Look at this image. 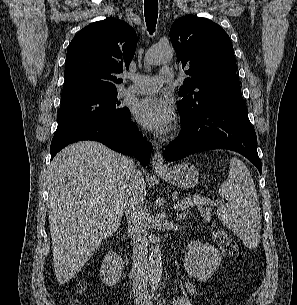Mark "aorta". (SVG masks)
<instances>
[{
	"label": "aorta",
	"instance_id": "762f6f07",
	"mask_svg": "<svg viewBox=\"0 0 297 305\" xmlns=\"http://www.w3.org/2000/svg\"><path fill=\"white\" fill-rule=\"evenodd\" d=\"M173 48L170 45H159L151 48L146 56L145 62L148 65H158L161 63H167L173 58ZM148 278L150 286L155 290L160 282L162 275V253L159 244H156L149 255L148 262Z\"/></svg>",
	"mask_w": 297,
	"mask_h": 305
}]
</instances>
